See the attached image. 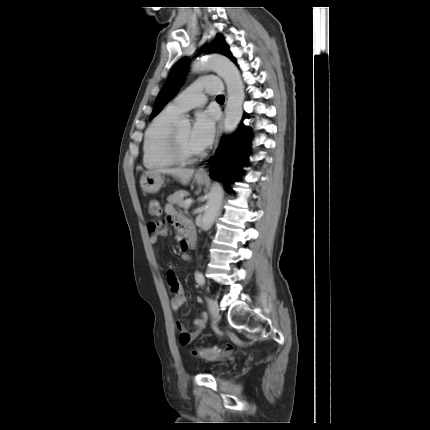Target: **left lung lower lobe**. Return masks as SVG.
<instances>
[{
    "label": "left lung lower lobe",
    "mask_w": 430,
    "mask_h": 430,
    "mask_svg": "<svg viewBox=\"0 0 430 430\" xmlns=\"http://www.w3.org/2000/svg\"><path fill=\"white\" fill-rule=\"evenodd\" d=\"M249 144L250 131L244 124L234 134L223 136L220 147L210 163L211 178L228 180L239 173L245 166Z\"/></svg>",
    "instance_id": "1"
}]
</instances>
